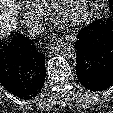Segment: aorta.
I'll return each mask as SVG.
<instances>
[{"mask_svg":"<svg viewBox=\"0 0 113 113\" xmlns=\"http://www.w3.org/2000/svg\"><path fill=\"white\" fill-rule=\"evenodd\" d=\"M53 49L58 55L63 56L67 59L76 57V49L73 43L68 39L62 38L54 42Z\"/></svg>","mask_w":113,"mask_h":113,"instance_id":"aorta-1","label":"aorta"}]
</instances>
